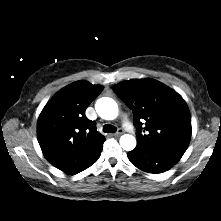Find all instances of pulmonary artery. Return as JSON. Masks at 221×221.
I'll return each instance as SVG.
<instances>
[{"label":"pulmonary artery","instance_id":"pulmonary-artery-1","mask_svg":"<svg viewBox=\"0 0 221 221\" xmlns=\"http://www.w3.org/2000/svg\"><path fill=\"white\" fill-rule=\"evenodd\" d=\"M124 124L128 129H132L131 125L128 122H125Z\"/></svg>","mask_w":221,"mask_h":221}]
</instances>
